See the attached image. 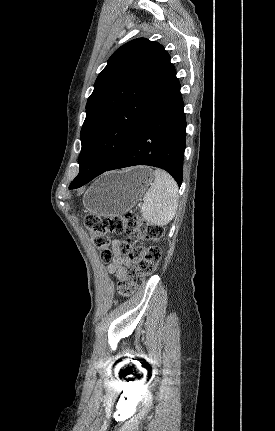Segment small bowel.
<instances>
[{
	"label": "small bowel",
	"instance_id": "obj_1",
	"mask_svg": "<svg viewBox=\"0 0 275 431\" xmlns=\"http://www.w3.org/2000/svg\"><path fill=\"white\" fill-rule=\"evenodd\" d=\"M119 244H120L119 240H115L113 242V247L116 249L119 246ZM126 264H127V259L123 257L119 252L116 251L108 264V267H107L108 272L120 278L125 271L124 265Z\"/></svg>",
	"mask_w": 275,
	"mask_h": 431
}]
</instances>
